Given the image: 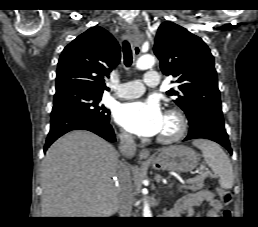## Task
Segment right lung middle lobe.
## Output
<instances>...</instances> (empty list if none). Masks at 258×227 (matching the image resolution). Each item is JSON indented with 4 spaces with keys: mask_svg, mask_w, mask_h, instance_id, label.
<instances>
[{
    "mask_svg": "<svg viewBox=\"0 0 258 227\" xmlns=\"http://www.w3.org/2000/svg\"><path fill=\"white\" fill-rule=\"evenodd\" d=\"M102 94L81 90L56 93L52 113L71 111L93 118L98 122H109V110L100 105Z\"/></svg>",
    "mask_w": 258,
    "mask_h": 227,
    "instance_id": "right-lung-middle-lobe-1",
    "label": "right lung middle lobe"
}]
</instances>
